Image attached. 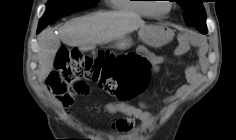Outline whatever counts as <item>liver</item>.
<instances>
[{
	"mask_svg": "<svg viewBox=\"0 0 236 140\" xmlns=\"http://www.w3.org/2000/svg\"><path fill=\"white\" fill-rule=\"evenodd\" d=\"M139 28H144V22L134 13L96 12L66 22L58 30V35L51 28L43 30L38 36L39 81L46 79L53 69L60 40L67 45L87 50L97 44L123 38Z\"/></svg>",
	"mask_w": 236,
	"mask_h": 140,
	"instance_id": "6515ba94",
	"label": "liver"
}]
</instances>
